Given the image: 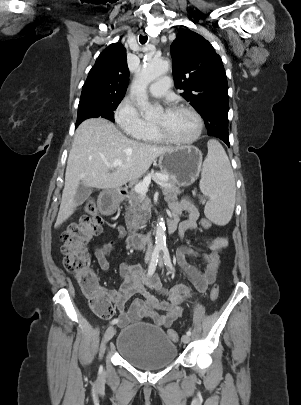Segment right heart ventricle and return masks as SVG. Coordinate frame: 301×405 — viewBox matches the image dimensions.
<instances>
[{"instance_id": "e07e8e85", "label": "right heart ventricle", "mask_w": 301, "mask_h": 405, "mask_svg": "<svg viewBox=\"0 0 301 405\" xmlns=\"http://www.w3.org/2000/svg\"><path fill=\"white\" fill-rule=\"evenodd\" d=\"M135 137L141 141L148 142V143L162 142V139L155 132L152 125H149L148 128H146L144 131L140 132L139 134L135 135Z\"/></svg>"}]
</instances>
